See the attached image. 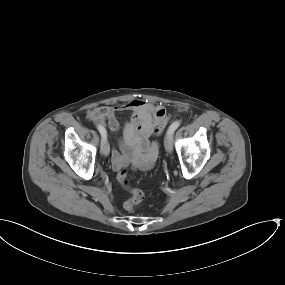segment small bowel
Wrapping results in <instances>:
<instances>
[{
  "label": "small bowel",
  "instance_id": "c3829d8e",
  "mask_svg": "<svg viewBox=\"0 0 285 285\" xmlns=\"http://www.w3.org/2000/svg\"><path fill=\"white\" fill-rule=\"evenodd\" d=\"M162 109L143 100H132L126 104L115 106H97L87 110L88 120L107 125L113 132L118 131L119 123L116 114L121 111H131L132 118L124 126L122 148L124 155L113 150L111 160L114 170L131 166L134 169L149 170L154 165L159 147L149 140ZM166 114V112H165ZM164 115V114H163Z\"/></svg>",
  "mask_w": 285,
  "mask_h": 285
}]
</instances>
